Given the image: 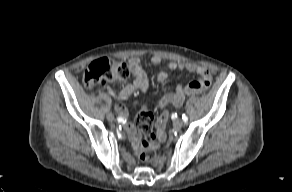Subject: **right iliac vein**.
<instances>
[{"label": "right iliac vein", "instance_id": "63e3f726", "mask_svg": "<svg viewBox=\"0 0 292 192\" xmlns=\"http://www.w3.org/2000/svg\"><path fill=\"white\" fill-rule=\"evenodd\" d=\"M107 119L109 120V121H114V115L112 114V113H108L107 114Z\"/></svg>", "mask_w": 292, "mask_h": 192}]
</instances>
